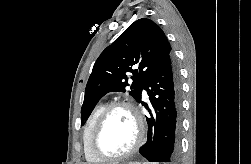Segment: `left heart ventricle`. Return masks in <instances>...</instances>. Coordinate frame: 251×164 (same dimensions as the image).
<instances>
[{"instance_id":"b2bd125f","label":"left heart ventricle","mask_w":251,"mask_h":164,"mask_svg":"<svg viewBox=\"0 0 251 164\" xmlns=\"http://www.w3.org/2000/svg\"><path fill=\"white\" fill-rule=\"evenodd\" d=\"M136 137L137 127L132 114L125 108H118L107 118L97 146L106 155H119L133 146Z\"/></svg>"}]
</instances>
